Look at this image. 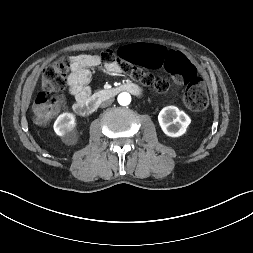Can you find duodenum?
Returning <instances> with one entry per match:
<instances>
[{
	"instance_id": "obj_1",
	"label": "duodenum",
	"mask_w": 253,
	"mask_h": 253,
	"mask_svg": "<svg viewBox=\"0 0 253 253\" xmlns=\"http://www.w3.org/2000/svg\"><path fill=\"white\" fill-rule=\"evenodd\" d=\"M124 91L134 95H140L141 93L139 87L133 83L121 84L117 87L100 91L91 97L78 100L74 105V110L81 116L91 115L97 110L102 101L110 99Z\"/></svg>"
}]
</instances>
